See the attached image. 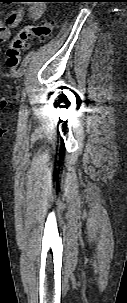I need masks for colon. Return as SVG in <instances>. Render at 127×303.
<instances>
[{"mask_svg":"<svg viewBox=\"0 0 127 303\" xmlns=\"http://www.w3.org/2000/svg\"><path fill=\"white\" fill-rule=\"evenodd\" d=\"M54 23L46 21L41 24H28L12 39L7 52L6 63L10 69H15L21 60L22 51L28 48V40L31 38L44 39L53 29Z\"/></svg>","mask_w":127,"mask_h":303,"instance_id":"5ec220e1","label":"colon"}]
</instances>
